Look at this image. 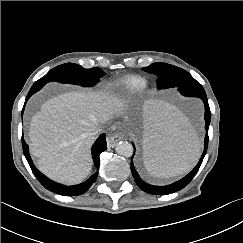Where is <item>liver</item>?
Segmentation results:
<instances>
[{"instance_id":"obj_1","label":"liver","mask_w":243,"mask_h":243,"mask_svg":"<svg viewBox=\"0 0 243 243\" xmlns=\"http://www.w3.org/2000/svg\"><path fill=\"white\" fill-rule=\"evenodd\" d=\"M123 106V100L102 90L69 92L45 101L29 128L39 170L64 184L83 181L92 167L94 132L121 114Z\"/></svg>"}]
</instances>
